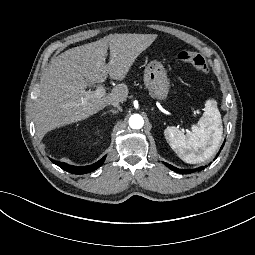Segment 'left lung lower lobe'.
Segmentation results:
<instances>
[{"mask_svg": "<svg viewBox=\"0 0 255 255\" xmlns=\"http://www.w3.org/2000/svg\"><path fill=\"white\" fill-rule=\"evenodd\" d=\"M223 146H224V143H223V145H222V147H221V149L223 148ZM220 149V150H221ZM220 153V152H219ZM218 153V154H219ZM166 166H168L171 170H173V171H175V172H177V173H180V174H189V173H193V172H195V171H201L202 169H204V167H199V168H197V169H191V170H187V169H184V170H182V169H178V168H176V167H174V166H172V165H169V164H165ZM205 167H207V165L205 166Z\"/></svg>", "mask_w": 255, "mask_h": 255, "instance_id": "1", "label": "left lung lower lobe"}]
</instances>
